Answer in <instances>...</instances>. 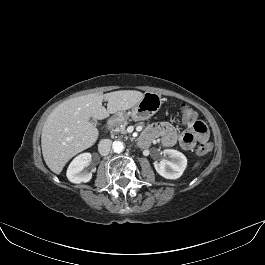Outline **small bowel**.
Masks as SVG:
<instances>
[{
    "label": "small bowel",
    "instance_id": "obj_1",
    "mask_svg": "<svg viewBox=\"0 0 265 265\" xmlns=\"http://www.w3.org/2000/svg\"><path fill=\"white\" fill-rule=\"evenodd\" d=\"M187 129L180 135L169 123L161 122L150 125L141 136V143L149 145L153 140L159 138L164 147H172L177 140L187 150L192 149L196 142L206 143L209 138L207 126L200 120H185Z\"/></svg>",
    "mask_w": 265,
    "mask_h": 265
}]
</instances>
